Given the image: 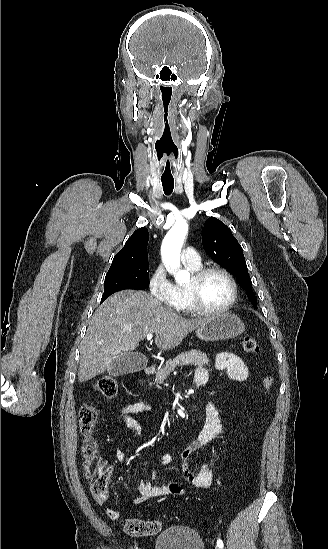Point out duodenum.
Instances as JSON below:
<instances>
[{"label": "duodenum", "instance_id": "1", "mask_svg": "<svg viewBox=\"0 0 328 549\" xmlns=\"http://www.w3.org/2000/svg\"><path fill=\"white\" fill-rule=\"evenodd\" d=\"M155 370H156L155 367L152 366V365L146 366V367L144 368V372H145V374H147V375L153 374V373L155 372ZM205 382H206V378H205V377H197V378H195V384H196L197 386H202L203 384H205Z\"/></svg>", "mask_w": 328, "mask_h": 549}]
</instances>
